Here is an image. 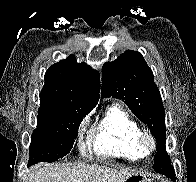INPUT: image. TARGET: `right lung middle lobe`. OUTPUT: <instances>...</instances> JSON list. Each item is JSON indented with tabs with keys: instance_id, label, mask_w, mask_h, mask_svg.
Here are the masks:
<instances>
[{
	"instance_id": "obj_1",
	"label": "right lung middle lobe",
	"mask_w": 196,
	"mask_h": 182,
	"mask_svg": "<svg viewBox=\"0 0 196 182\" xmlns=\"http://www.w3.org/2000/svg\"><path fill=\"white\" fill-rule=\"evenodd\" d=\"M85 117L68 110L39 111L37 128L32 133L28 166L55 162L73 147L78 128Z\"/></svg>"
}]
</instances>
